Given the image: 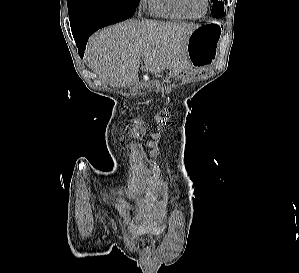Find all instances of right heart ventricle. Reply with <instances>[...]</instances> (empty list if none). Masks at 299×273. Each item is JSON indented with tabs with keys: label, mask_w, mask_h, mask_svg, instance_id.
<instances>
[{
	"label": "right heart ventricle",
	"mask_w": 299,
	"mask_h": 273,
	"mask_svg": "<svg viewBox=\"0 0 299 273\" xmlns=\"http://www.w3.org/2000/svg\"><path fill=\"white\" fill-rule=\"evenodd\" d=\"M151 15L168 20L180 21L189 17L180 8L178 0H147Z\"/></svg>",
	"instance_id": "obj_1"
}]
</instances>
